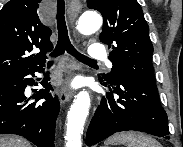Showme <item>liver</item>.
Listing matches in <instances>:
<instances>
[{"mask_svg": "<svg viewBox=\"0 0 183 147\" xmlns=\"http://www.w3.org/2000/svg\"><path fill=\"white\" fill-rule=\"evenodd\" d=\"M0 147H31L30 144L18 137L0 136Z\"/></svg>", "mask_w": 183, "mask_h": 147, "instance_id": "6515ba94", "label": "liver"}]
</instances>
